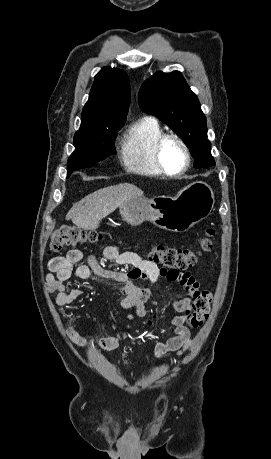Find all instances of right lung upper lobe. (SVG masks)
Listing matches in <instances>:
<instances>
[{
    "instance_id": "right-lung-upper-lobe-1",
    "label": "right lung upper lobe",
    "mask_w": 271,
    "mask_h": 459,
    "mask_svg": "<svg viewBox=\"0 0 271 459\" xmlns=\"http://www.w3.org/2000/svg\"><path fill=\"white\" fill-rule=\"evenodd\" d=\"M129 103L127 74L120 69L105 67L95 76L89 100L82 111V120L126 119Z\"/></svg>"
}]
</instances>
